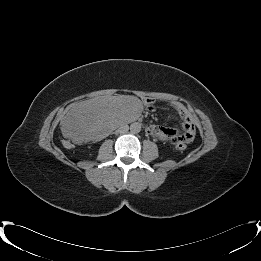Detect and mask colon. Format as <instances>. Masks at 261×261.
<instances>
[{
  "instance_id": "colon-1",
  "label": "colon",
  "mask_w": 261,
  "mask_h": 261,
  "mask_svg": "<svg viewBox=\"0 0 261 261\" xmlns=\"http://www.w3.org/2000/svg\"><path fill=\"white\" fill-rule=\"evenodd\" d=\"M173 143L175 145V148L178 151H184L186 149V147H187L186 142L184 141V139H182L180 137L175 138Z\"/></svg>"
}]
</instances>
